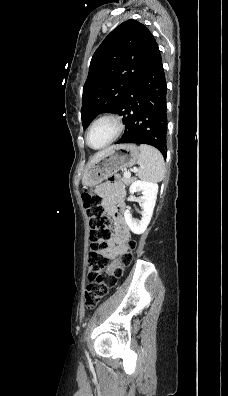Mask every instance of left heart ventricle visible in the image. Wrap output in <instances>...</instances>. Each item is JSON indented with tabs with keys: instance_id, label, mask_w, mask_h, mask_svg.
Instances as JSON below:
<instances>
[{
	"instance_id": "b2bd125f",
	"label": "left heart ventricle",
	"mask_w": 228,
	"mask_h": 396,
	"mask_svg": "<svg viewBox=\"0 0 228 396\" xmlns=\"http://www.w3.org/2000/svg\"><path fill=\"white\" fill-rule=\"evenodd\" d=\"M115 133V126L111 121L98 122L91 130L89 142L92 147L99 148L107 143Z\"/></svg>"
}]
</instances>
